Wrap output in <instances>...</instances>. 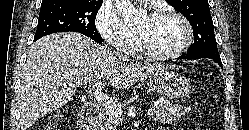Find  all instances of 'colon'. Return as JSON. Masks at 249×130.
Returning a JSON list of instances; mask_svg holds the SVG:
<instances>
[{
    "label": "colon",
    "mask_w": 249,
    "mask_h": 130,
    "mask_svg": "<svg viewBox=\"0 0 249 130\" xmlns=\"http://www.w3.org/2000/svg\"><path fill=\"white\" fill-rule=\"evenodd\" d=\"M60 116L55 113L49 116L42 126L41 130H59Z\"/></svg>",
    "instance_id": "obj_1"
}]
</instances>
